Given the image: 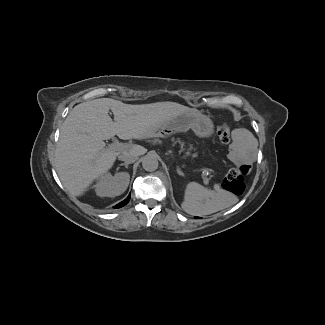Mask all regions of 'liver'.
I'll return each mask as SVG.
<instances>
[{
  "label": "liver",
  "mask_w": 325,
  "mask_h": 325,
  "mask_svg": "<svg viewBox=\"0 0 325 325\" xmlns=\"http://www.w3.org/2000/svg\"><path fill=\"white\" fill-rule=\"evenodd\" d=\"M188 112L198 111L169 101L131 105L99 98L80 103L62 125L53 166L63 186L72 195L81 196L113 166L120 153H125L105 148L104 140L115 135L123 140L150 137L152 130L166 120ZM130 152L143 154L145 149L135 145Z\"/></svg>",
  "instance_id": "obj_1"
}]
</instances>
